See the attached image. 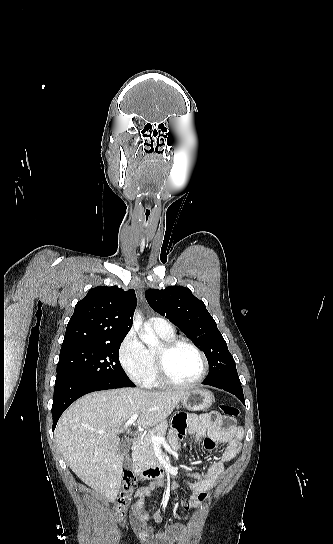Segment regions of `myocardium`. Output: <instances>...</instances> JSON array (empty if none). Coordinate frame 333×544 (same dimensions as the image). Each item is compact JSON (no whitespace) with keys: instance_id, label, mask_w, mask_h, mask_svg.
<instances>
[{"instance_id":"obj_1","label":"myocardium","mask_w":333,"mask_h":544,"mask_svg":"<svg viewBox=\"0 0 333 544\" xmlns=\"http://www.w3.org/2000/svg\"><path fill=\"white\" fill-rule=\"evenodd\" d=\"M187 346L193 349L201 358L202 361V372L198 378L193 381L182 383L174 380L167 369V358L168 356L178 347ZM155 358V367L159 380L166 385L176 387V388H189L196 386L203 382L209 372V362L206 354L194 343L186 339H170L162 343L160 348L154 353Z\"/></svg>"}]
</instances>
